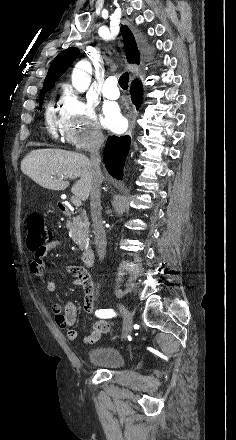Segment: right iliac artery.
<instances>
[{"label": "right iliac artery", "mask_w": 236, "mask_h": 440, "mask_svg": "<svg viewBox=\"0 0 236 440\" xmlns=\"http://www.w3.org/2000/svg\"><path fill=\"white\" fill-rule=\"evenodd\" d=\"M95 315L98 318H112L116 313L112 309H99L96 310Z\"/></svg>", "instance_id": "1"}]
</instances>
